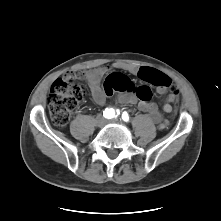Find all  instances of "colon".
Here are the masks:
<instances>
[{
	"mask_svg": "<svg viewBox=\"0 0 221 221\" xmlns=\"http://www.w3.org/2000/svg\"><path fill=\"white\" fill-rule=\"evenodd\" d=\"M138 75L146 83L171 89L175 96L179 93L178 89L173 85L172 80L162 72L149 67H143L139 70ZM119 89H129L140 100L144 101H148L152 97V90L148 85L135 86L129 84ZM105 90L109 95L114 91L108 83L105 85ZM85 94V88L77 84L71 75H66L63 78L55 80L51 86L48 98V108L53 123L58 127L66 126L71 114L76 109L78 103L84 98Z\"/></svg>",
	"mask_w": 221,
	"mask_h": 221,
	"instance_id": "5ec220e1",
	"label": "colon"
}]
</instances>
